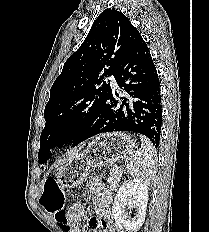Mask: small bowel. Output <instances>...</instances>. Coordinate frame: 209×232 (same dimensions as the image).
<instances>
[{
  "mask_svg": "<svg viewBox=\"0 0 209 232\" xmlns=\"http://www.w3.org/2000/svg\"><path fill=\"white\" fill-rule=\"evenodd\" d=\"M88 193L91 207L96 210L98 217L88 216L84 204H75L65 215L68 226H61L63 230L66 232H119L113 223L111 192L104 187L99 179L95 178L88 184ZM74 199H83L80 190L76 191ZM82 221H86L85 227L81 226Z\"/></svg>",
  "mask_w": 209,
  "mask_h": 232,
  "instance_id": "small-bowel-1",
  "label": "small bowel"
}]
</instances>
